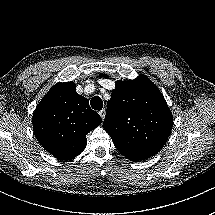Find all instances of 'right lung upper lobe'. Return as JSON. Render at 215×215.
<instances>
[{
    "label": "right lung upper lobe",
    "instance_id": "right-lung-upper-lobe-1",
    "mask_svg": "<svg viewBox=\"0 0 215 215\" xmlns=\"http://www.w3.org/2000/svg\"><path fill=\"white\" fill-rule=\"evenodd\" d=\"M102 123L74 82L57 83L40 101L33 115V131L54 157L69 160L86 147V135Z\"/></svg>",
    "mask_w": 215,
    "mask_h": 215
}]
</instances>
